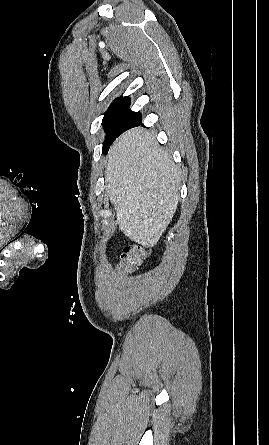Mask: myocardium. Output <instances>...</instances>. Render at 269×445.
I'll use <instances>...</instances> for the list:
<instances>
[{"instance_id": "1", "label": "myocardium", "mask_w": 269, "mask_h": 445, "mask_svg": "<svg viewBox=\"0 0 269 445\" xmlns=\"http://www.w3.org/2000/svg\"><path fill=\"white\" fill-rule=\"evenodd\" d=\"M9 238H10V236H8V237H6V238L0 240V245L3 244L4 242H6Z\"/></svg>"}]
</instances>
